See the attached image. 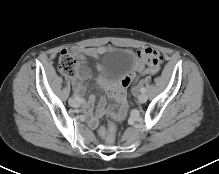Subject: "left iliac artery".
Listing matches in <instances>:
<instances>
[{
  "mask_svg": "<svg viewBox=\"0 0 219 174\" xmlns=\"http://www.w3.org/2000/svg\"><path fill=\"white\" fill-rule=\"evenodd\" d=\"M140 92H141V93H144V92H146V89H145V87H141V89H140Z\"/></svg>",
  "mask_w": 219,
  "mask_h": 174,
  "instance_id": "44dca946",
  "label": "left iliac artery"
}]
</instances>
